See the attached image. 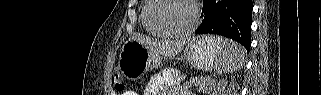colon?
Returning <instances> with one entry per match:
<instances>
[{"label": "colon", "mask_w": 321, "mask_h": 95, "mask_svg": "<svg viewBox=\"0 0 321 95\" xmlns=\"http://www.w3.org/2000/svg\"><path fill=\"white\" fill-rule=\"evenodd\" d=\"M112 81L115 89L118 92H123L125 90V82L118 71L113 73Z\"/></svg>", "instance_id": "1"}]
</instances>
